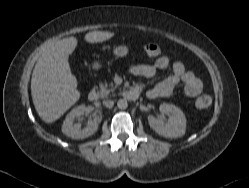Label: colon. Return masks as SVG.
Instances as JSON below:
<instances>
[{
  "mask_svg": "<svg viewBox=\"0 0 249 188\" xmlns=\"http://www.w3.org/2000/svg\"><path fill=\"white\" fill-rule=\"evenodd\" d=\"M144 52L148 56H156L160 52V47L156 43H147L144 46ZM211 98L208 95H202L196 100V106L205 109L211 105Z\"/></svg>",
  "mask_w": 249,
  "mask_h": 188,
  "instance_id": "5ec220e1",
  "label": "colon"
}]
</instances>
